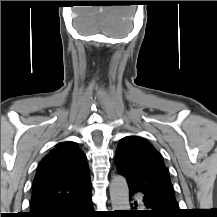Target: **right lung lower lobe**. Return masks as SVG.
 <instances>
[{
    "instance_id": "1",
    "label": "right lung lower lobe",
    "mask_w": 217,
    "mask_h": 217,
    "mask_svg": "<svg viewBox=\"0 0 217 217\" xmlns=\"http://www.w3.org/2000/svg\"><path fill=\"white\" fill-rule=\"evenodd\" d=\"M91 198L90 193L82 199L60 203L47 212L29 217H95Z\"/></svg>"
}]
</instances>
